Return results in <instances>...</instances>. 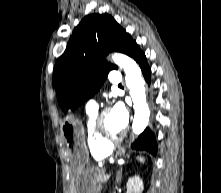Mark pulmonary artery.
I'll return each instance as SVG.
<instances>
[{
  "instance_id": "pulmonary-artery-1",
  "label": "pulmonary artery",
  "mask_w": 221,
  "mask_h": 193,
  "mask_svg": "<svg viewBox=\"0 0 221 193\" xmlns=\"http://www.w3.org/2000/svg\"><path fill=\"white\" fill-rule=\"evenodd\" d=\"M109 80L112 85L117 86L121 83L122 77L121 73L118 70H113L110 73ZM87 112L97 111L98 110V104L95 100L91 99L86 104Z\"/></svg>"
}]
</instances>
